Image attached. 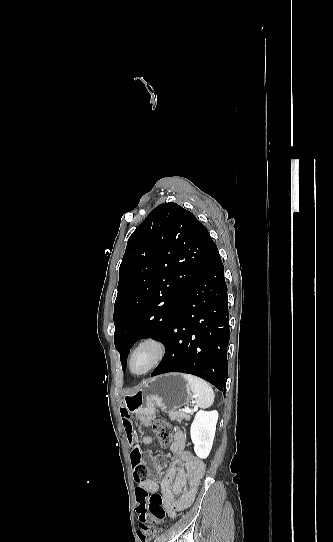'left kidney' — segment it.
<instances>
[{
    "instance_id": "5707ae66",
    "label": "left kidney",
    "mask_w": 333,
    "mask_h": 542,
    "mask_svg": "<svg viewBox=\"0 0 333 542\" xmlns=\"http://www.w3.org/2000/svg\"><path fill=\"white\" fill-rule=\"evenodd\" d=\"M218 416L217 410L213 412L199 410L191 424L190 436L198 458L205 460L212 450Z\"/></svg>"
}]
</instances>
